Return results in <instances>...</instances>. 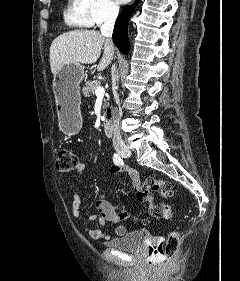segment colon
Wrapping results in <instances>:
<instances>
[{
  "label": "colon",
  "instance_id": "colon-1",
  "mask_svg": "<svg viewBox=\"0 0 240 281\" xmlns=\"http://www.w3.org/2000/svg\"><path fill=\"white\" fill-rule=\"evenodd\" d=\"M78 159L75 153L69 149L59 151L56 168L60 172H69L76 168ZM162 198H171L174 195V189L170 182L155 178H147L137 189V198L139 201L148 204L149 213L154 218L169 219L172 217L171 208L163 203L155 202L154 195ZM115 211L120 218L126 216L121 207H116ZM181 243L179 232L172 231L164 241L159 242L150 249V255L155 257L159 266H168L177 254Z\"/></svg>",
  "mask_w": 240,
  "mask_h": 281
}]
</instances>
